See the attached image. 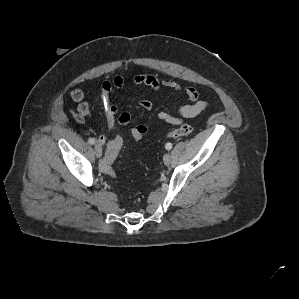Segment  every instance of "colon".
Segmentation results:
<instances>
[{"label": "colon", "mask_w": 299, "mask_h": 299, "mask_svg": "<svg viewBox=\"0 0 299 299\" xmlns=\"http://www.w3.org/2000/svg\"><path fill=\"white\" fill-rule=\"evenodd\" d=\"M75 116L77 119L81 120L82 116L76 112ZM193 132V128L188 124H183L178 128L172 129L168 133V137L170 138H180L184 136H188ZM146 131L142 127L134 126L130 130V135L135 141H140ZM125 138L122 134H116L107 144L106 152L103 159L100 162L101 171L111 177H115L114 163L118 158L122 148L124 146Z\"/></svg>", "instance_id": "obj_1"}]
</instances>
